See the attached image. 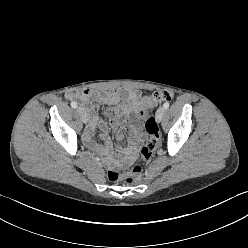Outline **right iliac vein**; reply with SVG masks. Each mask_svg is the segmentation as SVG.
<instances>
[{"mask_svg": "<svg viewBox=\"0 0 248 248\" xmlns=\"http://www.w3.org/2000/svg\"><path fill=\"white\" fill-rule=\"evenodd\" d=\"M77 111L82 117V121L86 124L89 121V114L87 113L86 109L83 107H78Z\"/></svg>", "mask_w": 248, "mask_h": 248, "instance_id": "obj_1", "label": "right iliac vein"}]
</instances>
